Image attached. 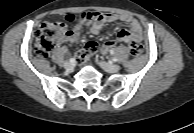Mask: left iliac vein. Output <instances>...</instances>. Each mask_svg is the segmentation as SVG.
I'll return each mask as SVG.
<instances>
[{
    "mask_svg": "<svg viewBox=\"0 0 194 133\" xmlns=\"http://www.w3.org/2000/svg\"><path fill=\"white\" fill-rule=\"evenodd\" d=\"M99 65L101 66L102 69L109 73H116L120 70V66L117 64H112L104 61H100Z\"/></svg>",
    "mask_w": 194,
    "mask_h": 133,
    "instance_id": "obj_1",
    "label": "left iliac vein"
}]
</instances>
